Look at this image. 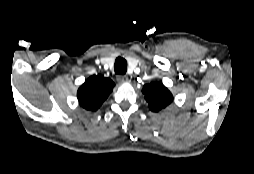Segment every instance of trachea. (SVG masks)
Wrapping results in <instances>:
<instances>
[{
    "instance_id": "1",
    "label": "trachea",
    "mask_w": 254,
    "mask_h": 174,
    "mask_svg": "<svg viewBox=\"0 0 254 174\" xmlns=\"http://www.w3.org/2000/svg\"><path fill=\"white\" fill-rule=\"evenodd\" d=\"M114 70L116 74L124 75L127 71L126 60L122 57H118L115 61Z\"/></svg>"
}]
</instances>
